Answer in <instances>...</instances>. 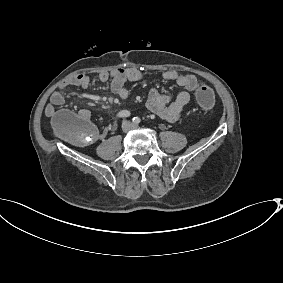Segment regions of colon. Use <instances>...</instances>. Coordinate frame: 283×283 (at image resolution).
Segmentation results:
<instances>
[{
    "label": "colon",
    "instance_id": "obj_1",
    "mask_svg": "<svg viewBox=\"0 0 283 283\" xmlns=\"http://www.w3.org/2000/svg\"><path fill=\"white\" fill-rule=\"evenodd\" d=\"M196 99L204 110H210L215 104L214 93L205 84L199 86ZM53 127L58 135L75 145H88L97 138V131L88 118L67 110H61L55 114Z\"/></svg>",
    "mask_w": 283,
    "mask_h": 283
}]
</instances>
